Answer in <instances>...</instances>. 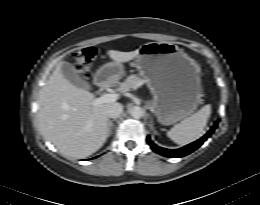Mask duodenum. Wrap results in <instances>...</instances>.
<instances>
[{"label":"duodenum","mask_w":260,"mask_h":205,"mask_svg":"<svg viewBox=\"0 0 260 205\" xmlns=\"http://www.w3.org/2000/svg\"><path fill=\"white\" fill-rule=\"evenodd\" d=\"M96 82L100 89H107L110 87V82L102 75H97Z\"/></svg>","instance_id":"410a0bca"}]
</instances>
